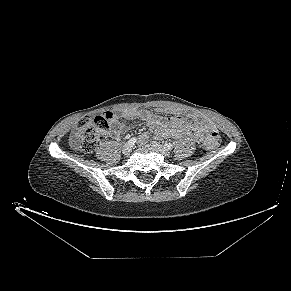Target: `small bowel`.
<instances>
[{
	"instance_id": "c3829d8e",
	"label": "small bowel",
	"mask_w": 291,
	"mask_h": 291,
	"mask_svg": "<svg viewBox=\"0 0 291 291\" xmlns=\"http://www.w3.org/2000/svg\"><path fill=\"white\" fill-rule=\"evenodd\" d=\"M160 112L173 113L172 108H161ZM127 120L140 119L144 121L150 130L157 137H174L180 138L190 136L197 142L205 143L212 133H216V128L212 123L202 119L199 115L191 114V118L197 121V126L185 124L184 118L181 115H172L170 117H162L146 110L130 109L123 113ZM127 126L120 123L115 130V134L119 135L125 131ZM148 133H142L139 137L141 142L147 140Z\"/></svg>"
}]
</instances>
